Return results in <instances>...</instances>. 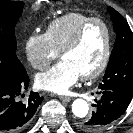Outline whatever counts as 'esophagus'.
I'll list each match as a JSON object with an SVG mask.
<instances>
[{
  "mask_svg": "<svg viewBox=\"0 0 133 133\" xmlns=\"http://www.w3.org/2000/svg\"><path fill=\"white\" fill-rule=\"evenodd\" d=\"M59 99L64 101V102H70L71 101V97H69V96H59Z\"/></svg>",
  "mask_w": 133,
  "mask_h": 133,
  "instance_id": "1",
  "label": "esophagus"
}]
</instances>
